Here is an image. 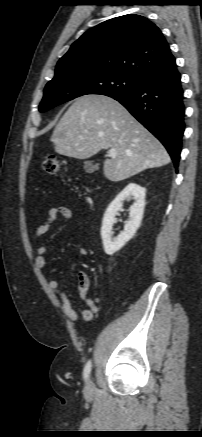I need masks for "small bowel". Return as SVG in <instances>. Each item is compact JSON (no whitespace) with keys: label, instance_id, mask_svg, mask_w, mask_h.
Segmentation results:
<instances>
[{"label":"small bowel","instance_id":"c3829d8e","mask_svg":"<svg viewBox=\"0 0 202 437\" xmlns=\"http://www.w3.org/2000/svg\"><path fill=\"white\" fill-rule=\"evenodd\" d=\"M61 216L64 219H71L73 217V211L66 206L59 207H51L48 211V216L45 222L38 227L35 228L32 238L37 239L42 235L46 234L57 218ZM49 250V246L47 244H41L35 252V266L42 270L46 265L45 255ZM81 255H86L88 250L86 247L82 246L79 250ZM47 285L49 289L59 298L62 310L64 314L68 317V319L72 322L77 321L78 314L76 310L73 308L70 298L68 295L59 288V284L57 280L52 277H47ZM80 298L83 300L87 308H84L81 311V317L84 321H90L93 316L98 312V307L96 306V301L93 298L87 296V292L89 289V279L86 275L81 274L79 276V284H78Z\"/></svg>","mask_w":202,"mask_h":437}]
</instances>
